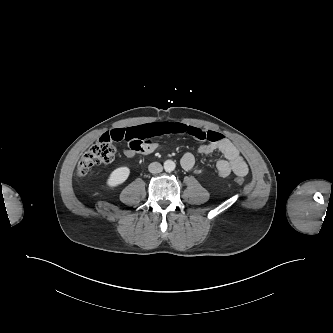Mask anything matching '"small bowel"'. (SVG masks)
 <instances>
[{"instance_id":"obj_1","label":"small bowel","mask_w":333,"mask_h":333,"mask_svg":"<svg viewBox=\"0 0 333 333\" xmlns=\"http://www.w3.org/2000/svg\"><path fill=\"white\" fill-rule=\"evenodd\" d=\"M165 134H187L196 139L206 141L198 147V152L208 155L219 152L223 159L216 164V169L221 177L231 173L243 177L248 173V165L241 156L237 147L219 132L205 130L199 127L174 122L148 123L127 128L111 130L103 135L111 141H126L128 148L124 150L127 157L137 153L148 154L159 148L155 137ZM181 165L185 170L195 167V157L192 153H185L181 158ZM200 173V169L195 170Z\"/></svg>"}]
</instances>
